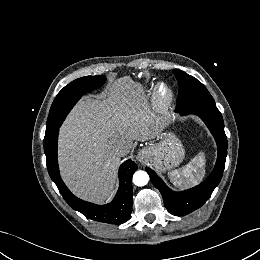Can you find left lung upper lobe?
I'll return each instance as SVG.
<instances>
[{
  "instance_id": "5c2ea615",
  "label": "left lung upper lobe",
  "mask_w": 260,
  "mask_h": 260,
  "mask_svg": "<svg viewBox=\"0 0 260 260\" xmlns=\"http://www.w3.org/2000/svg\"><path fill=\"white\" fill-rule=\"evenodd\" d=\"M173 73L179 81L176 111L184 110L192 105H215L211 94L196 78L181 70H173Z\"/></svg>"
}]
</instances>
